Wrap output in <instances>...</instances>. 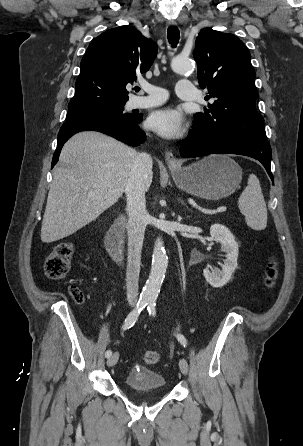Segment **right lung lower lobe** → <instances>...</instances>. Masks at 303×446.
Wrapping results in <instances>:
<instances>
[{
	"label": "right lung lower lobe",
	"mask_w": 303,
	"mask_h": 446,
	"mask_svg": "<svg viewBox=\"0 0 303 446\" xmlns=\"http://www.w3.org/2000/svg\"><path fill=\"white\" fill-rule=\"evenodd\" d=\"M141 120L142 114L135 115L131 119L102 114H88L66 120L58 134L57 148L53 156L52 168L59 159L63 144L72 135L80 131H98L131 146H137L143 143L146 139V134L138 126Z\"/></svg>",
	"instance_id": "1"
}]
</instances>
